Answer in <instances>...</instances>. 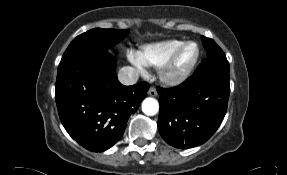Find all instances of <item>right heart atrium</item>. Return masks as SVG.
<instances>
[{
    "label": "right heart atrium",
    "instance_id": "obj_1",
    "mask_svg": "<svg viewBox=\"0 0 287 175\" xmlns=\"http://www.w3.org/2000/svg\"><path fill=\"white\" fill-rule=\"evenodd\" d=\"M130 62L137 67L141 72H144V66L139 59V54L133 51L128 52Z\"/></svg>",
    "mask_w": 287,
    "mask_h": 175
}]
</instances>
